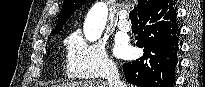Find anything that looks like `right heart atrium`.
I'll return each instance as SVG.
<instances>
[{
  "label": "right heart atrium",
  "instance_id": "d8ad5b80",
  "mask_svg": "<svg viewBox=\"0 0 205 87\" xmlns=\"http://www.w3.org/2000/svg\"><path fill=\"white\" fill-rule=\"evenodd\" d=\"M116 65L102 41H88L81 33L66 42V73L73 78L91 79L111 76Z\"/></svg>",
  "mask_w": 205,
  "mask_h": 87
}]
</instances>
